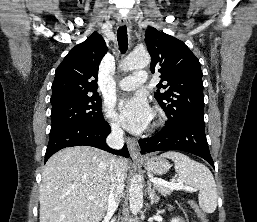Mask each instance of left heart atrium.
I'll list each match as a JSON object with an SVG mask.
<instances>
[{
  "label": "left heart atrium",
  "instance_id": "1",
  "mask_svg": "<svg viewBox=\"0 0 257 222\" xmlns=\"http://www.w3.org/2000/svg\"><path fill=\"white\" fill-rule=\"evenodd\" d=\"M118 108L123 125L131 132L144 131L151 121L152 111L143 94L121 100Z\"/></svg>",
  "mask_w": 257,
  "mask_h": 222
}]
</instances>
